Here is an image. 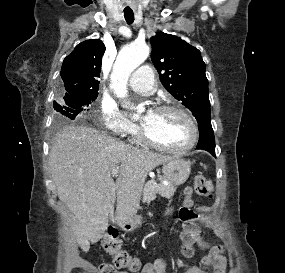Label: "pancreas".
Wrapping results in <instances>:
<instances>
[{
  "mask_svg": "<svg viewBox=\"0 0 285 273\" xmlns=\"http://www.w3.org/2000/svg\"><path fill=\"white\" fill-rule=\"evenodd\" d=\"M163 180V178H160ZM175 188L171 183L164 185L157 183L154 179L149 180L143 189V202H150L156 198V194L170 198L174 195Z\"/></svg>",
  "mask_w": 285,
  "mask_h": 273,
  "instance_id": "1",
  "label": "pancreas"
}]
</instances>
